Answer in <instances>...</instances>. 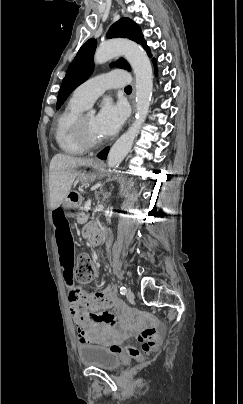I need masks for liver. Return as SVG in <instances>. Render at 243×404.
<instances>
[{
    "mask_svg": "<svg viewBox=\"0 0 243 404\" xmlns=\"http://www.w3.org/2000/svg\"><path fill=\"white\" fill-rule=\"evenodd\" d=\"M94 160L91 158H74L66 154H56L50 162L49 168V192L50 208H59L68 196L71 186L79 176L78 168L81 166H92Z\"/></svg>",
    "mask_w": 243,
    "mask_h": 404,
    "instance_id": "obj_1",
    "label": "liver"
}]
</instances>
